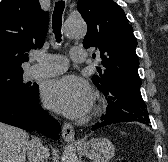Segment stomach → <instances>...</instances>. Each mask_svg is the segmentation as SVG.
I'll return each mask as SVG.
<instances>
[{
	"mask_svg": "<svg viewBox=\"0 0 168 162\" xmlns=\"http://www.w3.org/2000/svg\"><path fill=\"white\" fill-rule=\"evenodd\" d=\"M81 151L93 162H107L114 156L115 148L106 138H93L83 144Z\"/></svg>",
	"mask_w": 168,
	"mask_h": 162,
	"instance_id": "0dacf381",
	"label": "stomach"
}]
</instances>
